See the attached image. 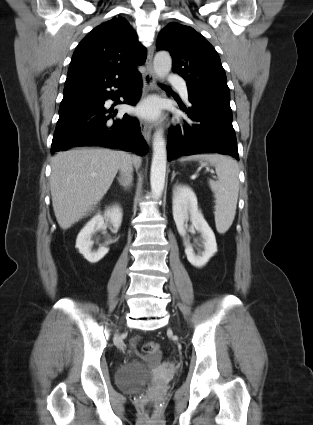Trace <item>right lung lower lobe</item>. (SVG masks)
Masks as SVG:
<instances>
[{
  "instance_id": "98d812e1",
  "label": "right lung lower lobe",
  "mask_w": 313,
  "mask_h": 425,
  "mask_svg": "<svg viewBox=\"0 0 313 425\" xmlns=\"http://www.w3.org/2000/svg\"><path fill=\"white\" fill-rule=\"evenodd\" d=\"M138 71L126 76L66 81L64 97L59 108V120L54 132L51 152L64 151L76 146H103L144 155L147 144L136 118L124 115L113 120L105 100L115 99L117 87L124 103L135 105L141 94ZM121 103V102H120Z\"/></svg>"
}]
</instances>
